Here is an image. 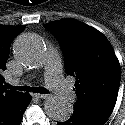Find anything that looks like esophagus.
<instances>
[{
	"instance_id": "34e87169",
	"label": "esophagus",
	"mask_w": 125,
	"mask_h": 125,
	"mask_svg": "<svg viewBox=\"0 0 125 125\" xmlns=\"http://www.w3.org/2000/svg\"><path fill=\"white\" fill-rule=\"evenodd\" d=\"M32 96L36 97V98H40V99H45V98L49 97L48 94H40V93H33Z\"/></svg>"
}]
</instances>
